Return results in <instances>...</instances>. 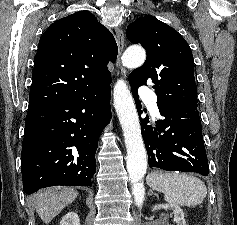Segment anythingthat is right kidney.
Listing matches in <instances>:
<instances>
[{"mask_svg": "<svg viewBox=\"0 0 237 225\" xmlns=\"http://www.w3.org/2000/svg\"><path fill=\"white\" fill-rule=\"evenodd\" d=\"M60 225H80V219L76 212L67 213L61 220Z\"/></svg>", "mask_w": 237, "mask_h": 225, "instance_id": "ca27d5eb", "label": "right kidney"}]
</instances>
